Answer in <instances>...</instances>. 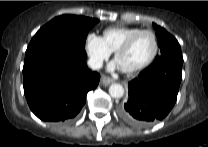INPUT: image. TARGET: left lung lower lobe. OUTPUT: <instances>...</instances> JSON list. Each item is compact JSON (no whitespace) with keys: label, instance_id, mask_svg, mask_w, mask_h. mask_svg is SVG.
<instances>
[{"label":"left lung lower lobe","instance_id":"left-lung-lower-lobe-1","mask_svg":"<svg viewBox=\"0 0 208 147\" xmlns=\"http://www.w3.org/2000/svg\"><path fill=\"white\" fill-rule=\"evenodd\" d=\"M182 64V60L163 56L130 81L129 98L119 109L121 118L135 127L164 119L177 100Z\"/></svg>","mask_w":208,"mask_h":147}]
</instances>
